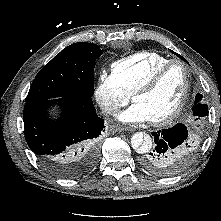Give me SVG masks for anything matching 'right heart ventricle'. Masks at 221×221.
<instances>
[{
  "instance_id": "obj_1",
  "label": "right heart ventricle",
  "mask_w": 221,
  "mask_h": 221,
  "mask_svg": "<svg viewBox=\"0 0 221 221\" xmlns=\"http://www.w3.org/2000/svg\"><path fill=\"white\" fill-rule=\"evenodd\" d=\"M170 59L155 51H141L115 61L112 73L129 93L145 82L151 74Z\"/></svg>"
}]
</instances>
